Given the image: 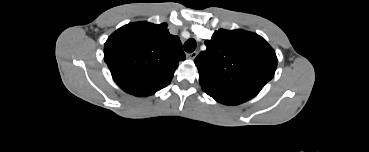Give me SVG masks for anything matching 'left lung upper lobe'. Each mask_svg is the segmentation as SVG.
Returning a JSON list of instances; mask_svg holds the SVG:
<instances>
[{"mask_svg":"<svg viewBox=\"0 0 369 152\" xmlns=\"http://www.w3.org/2000/svg\"><path fill=\"white\" fill-rule=\"evenodd\" d=\"M195 59L206 93L249 100L274 77L277 57L259 35L244 30L216 31Z\"/></svg>","mask_w":369,"mask_h":152,"instance_id":"1","label":"left lung upper lobe"}]
</instances>
